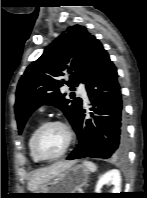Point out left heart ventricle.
I'll return each instance as SVG.
<instances>
[{"instance_id":"b2bd125f","label":"left heart ventricle","mask_w":147,"mask_h":198,"mask_svg":"<svg viewBox=\"0 0 147 198\" xmlns=\"http://www.w3.org/2000/svg\"><path fill=\"white\" fill-rule=\"evenodd\" d=\"M66 142V133L60 126H50L45 129L38 139V149L45 156L58 154Z\"/></svg>"}]
</instances>
